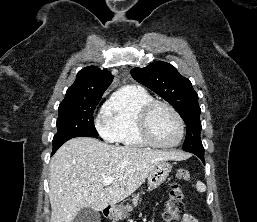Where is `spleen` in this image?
I'll return each mask as SVG.
<instances>
[{"label":"spleen","instance_id":"obj_1","mask_svg":"<svg viewBox=\"0 0 257 222\" xmlns=\"http://www.w3.org/2000/svg\"><path fill=\"white\" fill-rule=\"evenodd\" d=\"M196 188L199 192H205L206 191V185L204 183H202L201 181L197 182Z\"/></svg>","mask_w":257,"mask_h":222}]
</instances>
